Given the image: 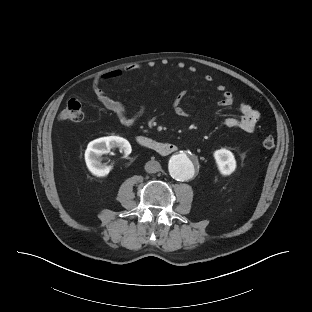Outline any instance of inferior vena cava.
Instances as JSON below:
<instances>
[{
	"label": "inferior vena cava",
	"instance_id": "inferior-vena-cava-1",
	"mask_svg": "<svg viewBox=\"0 0 312 312\" xmlns=\"http://www.w3.org/2000/svg\"><path fill=\"white\" fill-rule=\"evenodd\" d=\"M145 170L148 173H156L161 170V165L158 161L150 160L145 164Z\"/></svg>",
	"mask_w": 312,
	"mask_h": 312
}]
</instances>
